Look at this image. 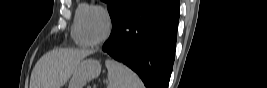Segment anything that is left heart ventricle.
Here are the masks:
<instances>
[{"instance_id":"obj_1","label":"left heart ventricle","mask_w":267,"mask_h":88,"mask_svg":"<svg viewBox=\"0 0 267 88\" xmlns=\"http://www.w3.org/2000/svg\"><path fill=\"white\" fill-rule=\"evenodd\" d=\"M84 31L89 41H99L106 32L104 16L98 11H91L85 19Z\"/></svg>"}]
</instances>
